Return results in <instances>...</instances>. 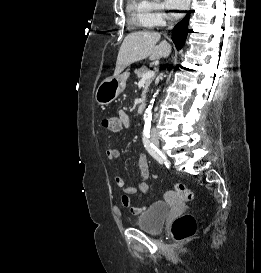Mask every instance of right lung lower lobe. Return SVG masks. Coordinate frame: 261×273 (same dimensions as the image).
<instances>
[{"mask_svg":"<svg viewBox=\"0 0 261 273\" xmlns=\"http://www.w3.org/2000/svg\"><path fill=\"white\" fill-rule=\"evenodd\" d=\"M188 14L175 26L172 31V40L177 48V50L181 49L184 45L187 33L190 31L188 29Z\"/></svg>","mask_w":261,"mask_h":273,"instance_id":"1","label":"right lung lower lobe"}]
</instances>
